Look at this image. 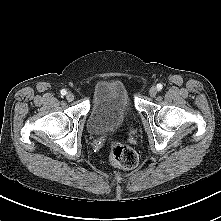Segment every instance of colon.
Instances as JSON below:
<instances>
[{"label": "colon", "instance_id": "1", "mask_svg": "<svg viewBox=\"0 0 221 221\" xmlns=\"http://www.w3.org/2000/svg\"><path fill=\"white\" fill-rule=\"evenodd\" d=\"M109 158L114 165L126 170L133 169L138 164L137 153L122 143H114L110 147Z\"/></svg>", "mask_w": 221, "mask_h": 221}]
</instances>
